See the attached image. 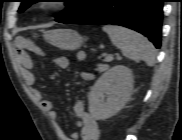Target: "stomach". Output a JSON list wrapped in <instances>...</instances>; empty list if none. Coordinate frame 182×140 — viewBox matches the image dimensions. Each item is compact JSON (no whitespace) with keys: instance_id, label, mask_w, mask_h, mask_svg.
Here are the masks:
<instances>
[{"instance_id":"obj_1","label":"stomach","mask_w":182,"mask_h":140,"mask_svg":"<svg viewBox=\"0 0 182 140\" xmlns=\"http://www.w3.org/2000/svg\"><path fill=\"white\" fill-rule=\"evenodd\" d=\"M44 38L51 45L68 51L79 49L83 42L82 37L71 29L49 30L44 33Z\"/></svg>"}]
</instances>
